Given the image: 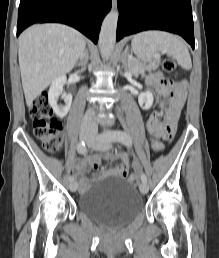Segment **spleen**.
<instances>
[{
	"label": "spleen",
	"mask_w": 219,
	"mask_h": 258,
	"mask_svg": "<svg viewBox=\"0 0 219 258\" xmlns=\"http://www.w3.org/2000/svg\"><path fill=\"white\" fill-rule=\"evenodd\" d=\"M134 54L144 62H151L156 52L174 57L178 64L189 70L191 57L185 42L178 36L164 31H144L136 34L131 42Z\"/></svg>",
	"instance_id": "3e777b00"
}]
</instances>
